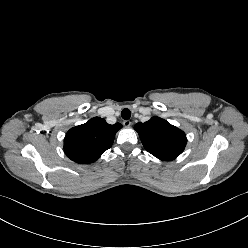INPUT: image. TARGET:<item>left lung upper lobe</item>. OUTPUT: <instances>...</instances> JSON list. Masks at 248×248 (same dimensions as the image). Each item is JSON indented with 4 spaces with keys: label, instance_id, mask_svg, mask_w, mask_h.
Instances as JSON below:
<instances>
[{
    "label": "left lung upper lobe",
    "instance_id": "1",
    "mask_svg": "<svg viewBox=\"0 0 248 248\" xmlns=\"http://www.w3.org/2000/svg\"><path fill=\"white\" fill-rule=\"evenodd\" d=\"M138 132L144 148L161 160L170 161L184 150L187 139L185 133L159 117H152L145 123H137Z\"/></svg>",
    "mask_w": 248,
    "mask_h": 248
}]
</instances>
